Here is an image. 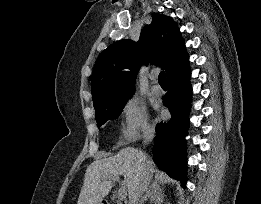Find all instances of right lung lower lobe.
Returning a JSON list of instances; mask_svg holds the SVG:
<instances>
[{
  "instance_id": "1",
  "label": "right lung lower lobe",
  "mask_w": 261,
  "mask_h": 204,
  "mask_svg": "<svg viewBox=\"0 0 261 204\" xmlns=\"http://www.w3.org/2000/svg\"><path fill=\"white\" fill-rule=\"evenodd\" d=\"M189 62L168 77L169 90L163 104L169 109L168 123L156 126L153 158L156 165L170 177L180 180L185 186L186 141L188 113L191 97Z\"/></svg>"
}]
</instances>
